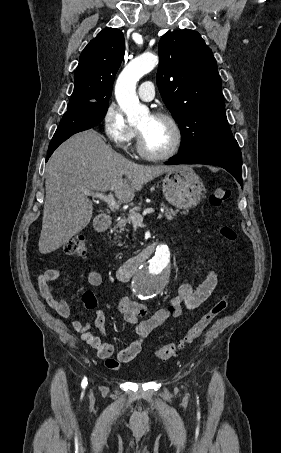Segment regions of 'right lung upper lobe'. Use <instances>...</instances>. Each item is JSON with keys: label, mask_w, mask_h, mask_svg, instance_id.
<instances>
[{"label": "right lung upper lobe", "mask_w": 281, "mask_h": 453, "mask_svg": "<svg viewBox=\"0 0 281 453\" xmlns=\"http://www.w3.org/2000/svg\"><path fill=\"white\" fill-rule=\"evenodd\" d=\"M124 53V35L117 28L104 29L91 40L81 53L68 108L108 104Z\"/></svg>", "instance_id": "obj_1"}]
</instances>
